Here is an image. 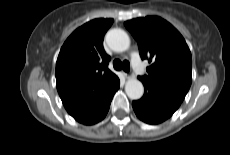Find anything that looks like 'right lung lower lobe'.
<instances>
[{"instance_id":"obj_1","label":"right lung lower lobe","mask_w":230,"mask_h":155,"mask_svg":"<svg viewBox=\"0 0 230 155\" xmlns=\"http://www.w3.org/2000/svg\"><path fill=\"white\" fill-rule=\"evenodd\" d=\"M119 79L115 82L111 92L109 95L99 104L94 107H91L85 110L82 113L73 115L72 117L77 120L78 122L85 124V125H92L99 121H101L107 114L111 100L115 92L119 89Z\"/></svg>"}]
</instances>
